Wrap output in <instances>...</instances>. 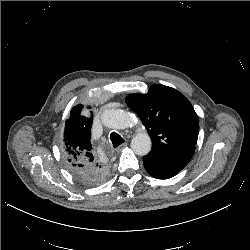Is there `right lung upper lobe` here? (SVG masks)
<instances>
[{
    "instance_id": "cb5924a9",
    "label": "right lung upper lobe",
    "mask_w": 250,
    "mask_h": 250,
    "mask_svg": "<svg viewBox=\"0 0 250 250\" xmlns=\"http://www.w3.org/2000/svg\"><path fill=\"white\" fill-rule=\"evenodd\" d=\"M82 108L81 104L74 106L66 120L62 150L67 164L80 170L110 171L109 163L95 156L90 142L93 117L83 116Z\"/></svg>"
}]
</instances>
